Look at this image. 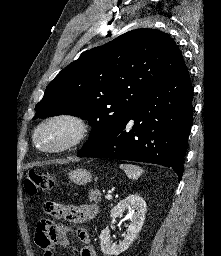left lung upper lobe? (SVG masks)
<instances>
[{"label":"left lung upper lobe","instance_id":"left-lung-upper-lobe-1","mask_svg":"<svg viewBox=\"0 0 221 256\" xmlns=\"http://www.w3.org/2000/svg\"><path fill=\"white\" fill-rule=\"evenodd\" d=\"M184 66L168 34L147 28L129 31L83 52L60 71L33 119L69 114L88 120L93 129L84 147L89 146Z\"/></svg>","mask_w":221,"mask_h":256}]
</instances>
